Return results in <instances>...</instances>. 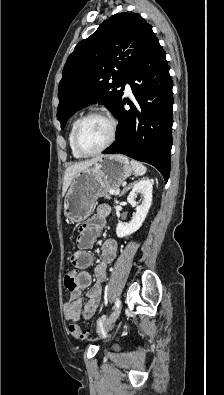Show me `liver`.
Returning a JSON list of instances; mask_svg holds the SVG:
<instances>
[{
    "instance_id": "liver-1",
    "label": "liver",
    "mask_w": 224,
    "mask_h": 395,
    "mask_svg": "<svg viewBox=\"0 0 224 395\" xmlns=\"http://www.w3.org/2000/svg\"><path fill=\"white\" fill-rule=\"evenodd\" d=\"M101 157H102V156H98V157L92 158V159H90V160L82 161V162H79V163H75V164L72 165V166H69V167L66 169L65 174H64L62 194L64 195V194L66 193V191H67V189L69 188V186H70V184H71V182H72L74 176H75L78 172H80V171H82V170H84V169H86V168H88V167H91V166H92L95 162H97Z\"/></svg>"
}]
</instances>
